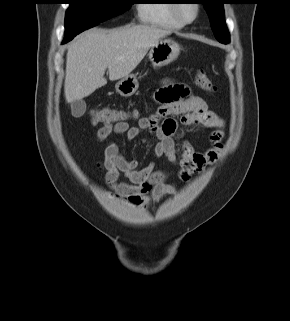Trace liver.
Wrapping results in <instances>:
<instances>
[{
  "label": "liver",
  "instance_id": "1",
  "mask_svg": "<svg viewBox=\"0 0 290 321\" xmlns=\"http://www.w3.org/2000/svg\"><path fill=\"white\" fill-rule=\"evenodd\" d=\"M168 34L169 31L148 25L83 32L67 51L66 101L81 100L106 85V69L111 81L127 77L148 50Z\"/></svg>",
  "mask_w": 290,
  "mask_h": 321
}]
</instances>
